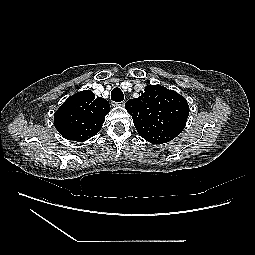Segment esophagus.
Returning a JSON list of instances; mask_svg holds the SVG:
<instances>
[{
  "instance_id": "obj_1",
  "label": "esophagus",
  "mask_w": 255,
  "mask_h": 255,
  "mask_svg": "<svg viewBox=\"0 0 255 255\" xmlns=\"http://www.w3.org/2000/svg\"><path fill=\"white\" fill-rule=\"evenodd\" d=\"M113 106H124L125 105V102L124 101H121V102H113L112 103Z\"/></svg>"
}]
</instances>
